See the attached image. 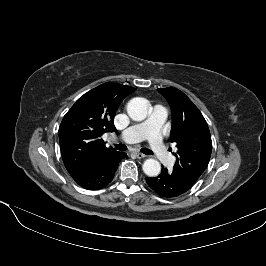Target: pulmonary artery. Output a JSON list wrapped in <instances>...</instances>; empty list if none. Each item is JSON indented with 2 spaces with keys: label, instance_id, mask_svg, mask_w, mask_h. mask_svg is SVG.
<instances>
[{
  "label": "pulmonary artery",
  "instance_id": "e3ab8cb5",
  "mask_svg": "<svg viewBox=\"0 0 266 266\" xmlns=\"http://www.w3.org/2000/svg\"><path fill=\"white\" fill-rule=\"evenodd\" d=\"M166 118L167 110L160 105H156L147 120L128 127L121 132L119 137L125 143H136L147 139L155 156L165 165H172L174 157L167 152L159 135L160 128Z\"/></svg>",
  "mask_w": 266,
  "mask_h": 266
}]
</instances>
